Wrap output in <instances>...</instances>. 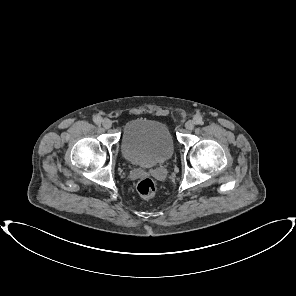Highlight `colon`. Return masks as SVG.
Returning a JSON list of instances; mask_svg holds the SVG:
<instances>
[{
	"instance_id": "5ec220e1",
	"label": "colon",
	"mask_w": 296,
	"mask_h": 296,
	"mask_svg": "<svg viewBox=\"0 0 296 296\" xmlns=\"http://www.w3.org/2000/svg\"><path fill=\"white\" fill-rule=\"evenodd\" d=\"M137 190L142 197L150 198L156 191L155 182L151 178H143L138 182Z\"/></svg>"
}]
</instances>
